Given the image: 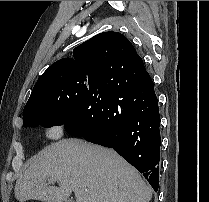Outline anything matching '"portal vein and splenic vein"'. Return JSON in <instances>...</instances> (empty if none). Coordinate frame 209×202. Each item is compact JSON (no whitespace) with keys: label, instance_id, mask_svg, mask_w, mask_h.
<instances>
[{"label":"portal vein and splenic vein","instance_id":"portal-vein-and-splenic-vein-1","mask_svg":"<svg viewBox=\"0 0 209 202\" xmlns=\"http://www.w3.org/2000/svg\"><path fill=\"white\" fill-rule=\"evenodd\" d=\"M49 181H50L51 183H53V182H56L57 180H56L55 178H50Z\"/></svg>","mask_w":209,"mask_h":202}]
</instances>
